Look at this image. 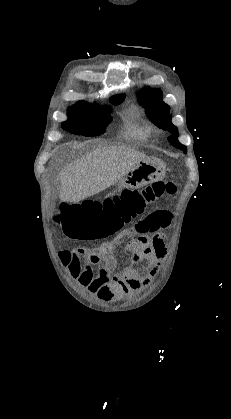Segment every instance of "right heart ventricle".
Masks as SVG:
<instances>
[{"label": "right heart ventricle", "mask_w": 231, "mask_h": 419, "mask_svg": "<svg viewBox=\"0 0 231 419\" xmlns=\"http://www.w3.org/2000/svg\"><path fill=\"white\" fill-rule=\"evenodd\" d=\"M126 134L132 138L142 140L147 137L148 128L136 121H131L126 127Z\"/></svg>", "instance_id": "obj_1"}]
</instances>
